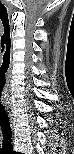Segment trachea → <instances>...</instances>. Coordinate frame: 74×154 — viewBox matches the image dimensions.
Wrapping results in <instances>:
<instances>
[{
	"label": "trachea",
	"mask_w": 74,
	"mask_h": 154,
	"mask_svg": "<svg viewBox=\"0 0 74 154\" xmlns=\"http://www.w3.org/2000/svg\"><path fill=\"white\" fill-rule=\"evenodd\" d=\"M0 120H1V127H2L3 134L5 136V139H8L11 133V128L9 123V117L4 107L0 113Z\"/></svg>",
	"instance_id": "1"
}]
</instances>
